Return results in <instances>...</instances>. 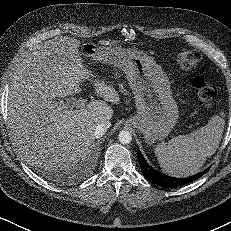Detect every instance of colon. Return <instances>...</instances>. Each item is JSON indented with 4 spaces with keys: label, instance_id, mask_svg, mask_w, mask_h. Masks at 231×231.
Wrapping results in <instances>:
<instances>
[{
    "label": "colon",
    "instance_id": "5ec220e1",
    "mask_svg": "<svg viewBox=\"0 0 231 231\" xmlns=\"http://www.w3.org/2000/svg\"><path fill=\"white\" fill-rule=\"evenodd\" d=\"M200 60V54L196 51H182L178 53L176 62L183 71L194 69ZM192 87L195 90L199 100L206 106L211 107L215 101L216 88L214 84L201 76H197L192 81Z\"/></svg>",
    "mask_w": 231,
    "mask_h": 231
}]
</instances>
